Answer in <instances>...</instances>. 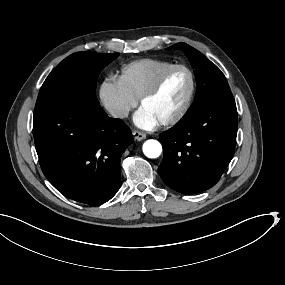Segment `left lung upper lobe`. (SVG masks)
I'll return each instance as SVG.
<instances>
[{
    "instance_id": "5c2ea615",
    "label": "left lung upper lobe",
    "mask_w": 285,
    "mask_h": 285,
    "mask_svg": "<svg viewBox=\"0 0 285 285\" xmlns=\"http://www.w3.org/2000/svg\"><path fill=\"white\" fill-rule=\"evenodd\" d=\"M170 48L183 50L195 68L197 94L189 111L212 101L234 100L224 74L202 53L186 43H178Z\"/></svg>"
}]
</instances>
